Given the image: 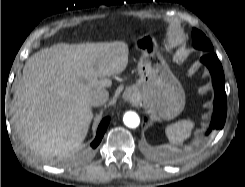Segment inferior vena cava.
I'll return each mask as SVG.
<instances>
[{
	"label": "inferior vena cava",
	"mask_w": 245,
	"mask_h": 187,
	"mask_svg": "<svg viewBox=\"0 0 245 187\" xmlns=\"http://www.w3.org/2000/svg\"><path fill=\"white\" fill-rule=\"evenodd\" d=\"M109 92L105 88H99L90 93L88 102L91 106H100L107 102Z\"/></svg>",
	"instance_id": "1"
}]
</instances>
